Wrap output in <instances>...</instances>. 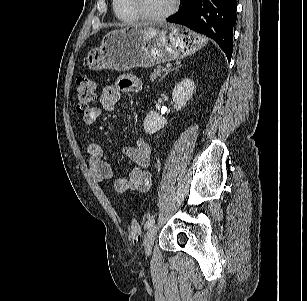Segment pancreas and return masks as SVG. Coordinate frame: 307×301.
<instances>
[{"instance_id":"cf45deb5","label":"pancreas","mask_w":307,"mask_h":301,"mask_svg":"<svg viewBox=\"0 0 307 301\" xmlns=\"http://www.w3.org/2000/svg\"><path fill=\"white\" fill-rule=\"evenodd\" d=\"M169 72V69L164 68L163 66H158L157 68H155L153 70V72L151 73V80L154 81L157 77L161 76V73H165L164 76ZM163 76V77H164Z\"/></svg>"}]
</instances>
